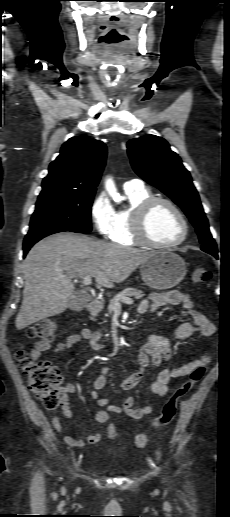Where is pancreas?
<instances>
[{"label":"pancreas","instance_id":"obj_1","mask_svg":"<svg viewBox=\"0 0 230 517\" xmlns=\"http://www.w3.org/2000/svg\"><path fill=\"white\" fill-rule=\"evenodd\" d=\"M131 296H134L136 298H141L144 296V294L141 290H138L136 288L128 287V288L124 289L123 291H121L117 295H115L113 297V299L110 300V303L107 307L108 313L111 314L113 312L116 302H120L123 298L131 297Z\"/></svg>","mask_w":230,"mask_h":517}]
</instances>
